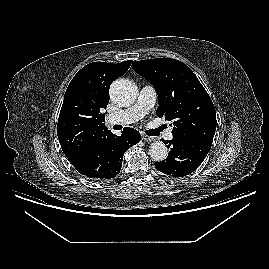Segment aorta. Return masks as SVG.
<instances>
[{
  "mask_svg": "<svg viewBox=\"0 0 269 269\" xmlns=\"http://www.w3.org/2000/svg\"><path fill=\"white\" fill-rule=\"evenodd\" d=\"M137 94L136 86L129 80L119 79L112 83L110 96L114 103L119 106H127L134 102ZM150 157L157 162L167 158L168 149L161 141L153 142L149 147Z\"/></svg>",
  "mask_w": 269,
  "mask_h": 269,
  "instance_id": "aorta-1",
  "label": "aorta"
}]
</instances>
